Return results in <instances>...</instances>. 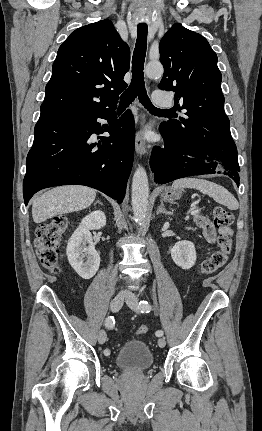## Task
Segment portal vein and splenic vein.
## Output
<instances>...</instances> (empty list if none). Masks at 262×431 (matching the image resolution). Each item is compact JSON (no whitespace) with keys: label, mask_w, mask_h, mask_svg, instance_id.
Wrapping results in <instances>:
<instances>
[{"label":"portal vein and splenic vein","mask_w":262,"mask_h":431,"mask_svg":"<svg viewBox=\"0 0 262 431\" xmlns=\"http://www.w3.org/2000/svg\"><path fill=\"white\" fill-rule=\"evenodd\" d=\"M197 213H199V210H197V209H193V210H191V214H192V215L197 214Z\"/></svg>","instance_id":"1"}]
</instances>
